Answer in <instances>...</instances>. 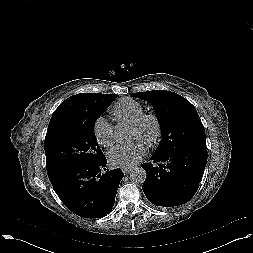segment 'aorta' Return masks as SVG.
I'll list each match as a JSON object with an SVG mask.
<instances>
[{
    "label": "aorta",
    "instance_id": "1",
    "mask_svg": "<svg viewBox=\"0 0 253 253\" xmlns=\"http://www.w3.org/2000/svg\"><path fill=\"white\" fill-rule=\"evenodd\" d=\"M116 134L120 138L128 136L127 128L124 126H117ZM130 180L134 183H144L146 180V171L143 168H135L130 172Z\"/></svg>",
    "mask_w": 253,
    "mask_h": 253
}]
</instances>
